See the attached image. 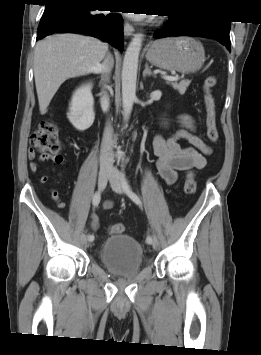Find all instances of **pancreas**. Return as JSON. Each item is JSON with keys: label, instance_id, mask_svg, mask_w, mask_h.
Wrapping results in <instances>:
<instances>
[{"label": "pancreas", "instance_id": "pancreas-1", "mask_svg": "<svg viewBox=\"0 0 261 355\" xmlns=\"http://www.w3.org/2000/svg\"><path fill=\"white\" fill-rule=\"evenodd\" d=\"M170 84L175 90H177L181 95H183V94H185V92L190 84V80H182L179 83L171 82Z\"/></svg>", "mask_w": 261, "mask_h": 355}]
</instances>
